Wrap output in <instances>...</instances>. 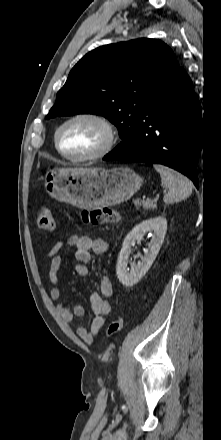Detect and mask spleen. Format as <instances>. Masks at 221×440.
I'll return each mask as SVG.
<instances>
[{"mask_svg":"<svg viewBox=\"0 0 221 440\" xmlns=\"http://www.w3.org/2000/svg\"><path fill=\"white\" fill-rule=\"evenodd\" d=\"M154 168L161 176L162 187L168 189L163 197L165 203L179 202L191 195L193 184L187 177L163 165L155 164Z\"/></svg>","mask_w":221,"mask_h":440,"instance_id":"spleen-1","label":"spleen"}]
</instances>
